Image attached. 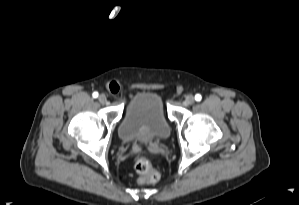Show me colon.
Here are the masks:
<instances>
[{"label":"colon","mask_w":299,"mask_h":205,"mask_svg":"<svg viewBox=\"0 0 299 205\" xmlns=\"http://www.w3.org/2000/svg\"><path fill=\"white\" fill-rule=\"evenodd\" d=\"M134 169L142 184L156 183L160 178L158 171L152 167L149 159L145 156H139L136 159Z\"/></svg>","instance_id":"1"}]
</instances>
